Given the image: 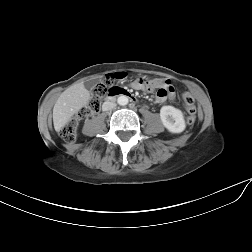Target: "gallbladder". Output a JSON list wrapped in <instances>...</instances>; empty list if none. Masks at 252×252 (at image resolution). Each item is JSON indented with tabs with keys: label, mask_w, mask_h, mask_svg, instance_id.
Wrapping results in <instances>:
<instances>
[{
	"label": "gallbladder",
	"mask_w": 252,
	"mask_h": 252,
	"mask_svg": "<svg viewBox=\"0 0 252 252\" xmlns=\"http://www.w3.org/2000/svg\"><path fill=\"white\" fill-rule=\"evenodd\" d=\"M94 84H95V82H86L85 83V88L90 90Z\"/></svg>",
	"instance_id": "gallbladder-1"
}]
</instances>
